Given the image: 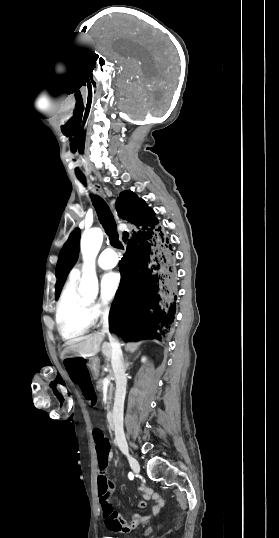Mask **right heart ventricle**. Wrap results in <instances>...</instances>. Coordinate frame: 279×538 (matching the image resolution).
Wrapping results in <instances>:
<instances>
[{
	"label": "right heart ventricle",
	"instance_id": "e07e8e85",
	"mask_svg": "<svg viewBox=\"0 0 279 538\" xmlns=\"http://www.w3.org/2000/svg\"><path fill=\"white\" fill-rule=\"evenodd\" d=\"M88 234L103 235V229L87 228L82 233V241ZM80 274L69 278L56 304V325L64 340H74L89 331L95 322L93 303L79 291Z\"/></svg>",
	"mask_w": 279,
	"mask_h": 538
}]
</instances>
